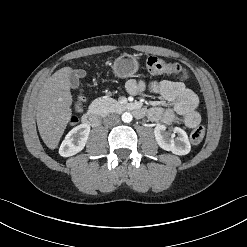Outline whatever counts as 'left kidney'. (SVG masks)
<instances>
[{
	"instance_id": "1",
	"label": "left kidney",
	"mask_w": 247,
	"mask_h": 247,
	"mask_svg": "<svg viewBox=\"0 0 247 247\" xmlns=\"http://www.w3.org/2000/svg\"><path fill=\"white\" fill-rule=\"evenodd\" d=\"M175 134L177 135L176 138ZM154 135L158 145L166 151H171L173 154L186 155L191 150L188 135L179 127H175L174 133L170 136L166 132V127L159 124L154 128Z\"/></svg>"
}]
</instances>
